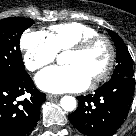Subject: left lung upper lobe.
I'll return each instance as SVG.
<instances>
[{
  "label": "left lung upper lobe",
  "mask_w": 136,
  "mask_h": 136,
  "mask_svg": "<svg viewBox=\"0 0 136 136\" xmlns=\"http://www.w3.org/2000/svg\"><path fill=\"white\" fill-rule=\"evenodd\" d=\"M116 46L117 66L110 80L118 78H131L134 76L133 60L123 40L113 31L108 30Z\"/></svg>",
  "instance_id": "left-lung-upper-lobe-1"
}]
</instances>
